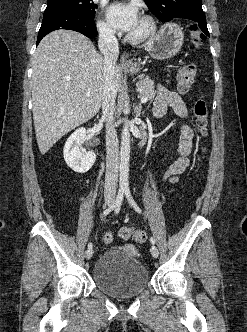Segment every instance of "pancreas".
Wrapping results in <instances>:
<instances>
[{
  "instance_id": "pancreas-1",
  "label": "pancreas",
  "mask_w": 247,
  "mask_h": 332,
  "mask_svg": "<svg viewBox=\"0 0 247 332\" xmlns=\"http://www.w3.org/2000/svg\"><path fill=\"white\" fill-rule=\"evenodd\" d=\"M139 97H148L149 99L154 98L155 90H154V82L150 79H144L142 81L137 82L136 84Z\"/></svg>"
}]
</instances>
